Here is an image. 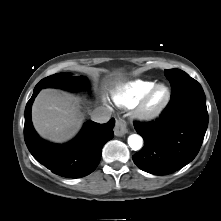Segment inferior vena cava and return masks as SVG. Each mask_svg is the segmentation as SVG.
<instances>
[{
	"mask_svg": "<svg viewBox=\"0 0 221 221\" xmlns=\"http://www.w3.org/2000/svg\"><path fill=\"white\" fill-rule=\"evenodd\" d=\"M111 113L105 107H98L91 113V120L97 123H106L110 120Z\"/></svg>",
	"mask_w": 221,
	"mask_h": 221,
	"instance_id": "obj_1",
	"label": "inferior vena cava"
}]
</instances>
